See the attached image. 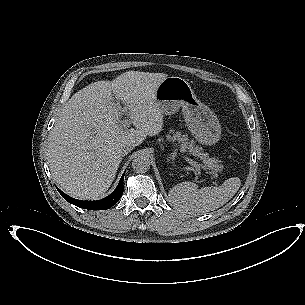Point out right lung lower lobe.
<instances>
[{"label": "right lung lower lobe", "mask_w": 305, "mask_h": 305, "mask_svg": "<svg viewBox=\"0 0 305 305\" xmlns=\"http://www.w3.org/2000/svg\"><path fill=\"white\" fill-rule=\"evenodd\" d=\"M125 172L123 173L120 182L117 186V188L106 198H103L101 200L97 201H82L74 199L65 193H63L60 189H58L59 193L63 196L65 200H67L69 203L76 205L80 208L89 209V210H106L112 207L114 204H116L122 194H123V179H124Z\"/></svg>", "instance_id": "98d812e1"}]
</instances>
